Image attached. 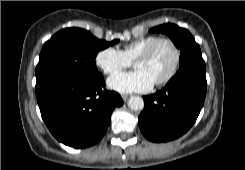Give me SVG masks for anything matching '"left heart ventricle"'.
Returning <instances> with one entry per match:
<instances>
[{
	"label": "left heart ventricle",
	"instance_id": "obj_1",
	"mask_svg": "<svg viewBox=\"0 0 245 170\" xmlns=\"http://www.w3.org/2000/svg\"><path fill=\"white\" fill-rule=\"evenodd\" d=\"M173 63L174 52L172 47L163 42L155 47L150 57L138 60L135 63V68L145 71L156 82L168 74Z\"/></svg>",
	"mask_w": 245,
	"mask_h": 170
}]
</instances>
